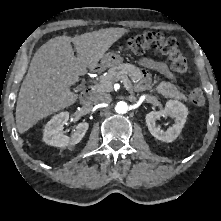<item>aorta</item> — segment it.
<instances>
[{"instance_id": "762f6f07", "label": "aorta", "mask_w": 221, "mask_h": 221, "mask_svg": "<svg viewBox=\"0 0 221 221\" xmlns=\"http://www.w3.org/2000/svg\"><path fill=\"white\" fill-rule=\"evenodd\" d=\"M115 110L119 114H125L128 111V104L124 101H119L115 106Z\"/></svg>"}]
</instances>
